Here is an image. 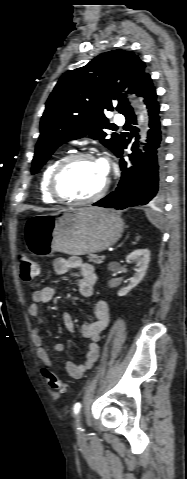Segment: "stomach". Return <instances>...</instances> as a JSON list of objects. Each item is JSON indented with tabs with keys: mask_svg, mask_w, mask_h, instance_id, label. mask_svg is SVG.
I'll use <instances>...</instances> for the list:
<instances>
[{
	"mask_svg": "<svg viewBox=\"0 0 187 479\" xmlns=\"http://www.w3.org/2000/svg\"><path fill=\"white\" fill-rule=\"evenodd\" d=\"M123 227V220L113 210L88 206L33 215L25 222L24 233L35 256H50L56 251L84 255L114 245Z\"/></svg>",
	"mask_w": 187,
	"mask_h": 479,
	"instance_id": "0dacf381",
	"label": "stomach"
}]
</instances>
